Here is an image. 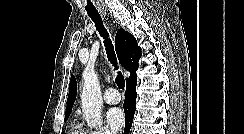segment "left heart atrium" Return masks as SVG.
I'll return each instance as SVG.
<instances>
[{"label":"left heart atrium","mask_w":244,"mask_h":134,"mask_svg":"<svg viewBox=\"0 0 244 134\" xmlns=\"http://www.w3.org/2000/svg\"><path fill=\"white\" fill-rule=\"evenodd\" d=\"M106 121L113 132L119 131L125 122V116L121 109L111 108L106 113Z\"/></svg>","instance_id":"left-heart-atrium-1"}]
</instances>
